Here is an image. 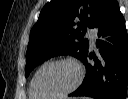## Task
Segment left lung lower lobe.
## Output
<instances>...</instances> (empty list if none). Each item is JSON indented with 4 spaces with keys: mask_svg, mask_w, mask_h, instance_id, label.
Returning a JSON list of instances; mask_svg holds the SVG:
<instances>
[{
    "mask_svg": "<svg viewBox=\"0 0 128 99\" xmlns=\"http://www.w3.org/2000/svg\"><path fill=\"white\" fill-rule=\"evenodd\" d=\"M94 29L98 53L84 54L86 66L82 85L69 96L96 99H126L128 84V36L117 0H107ZM87 57L93 58L89 64Z\"/></svg>",
    "mask_w": 128,
    "mask_h": 99,
    "instance_id": "obj_1",
    "label": "left lung lower lobe"
}]
</instances>
